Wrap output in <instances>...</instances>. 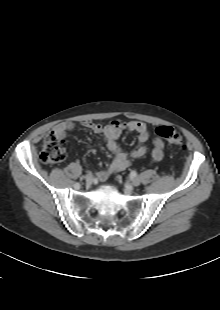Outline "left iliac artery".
I'll list each match as a JSON object with an SVG mask.
<instances>
[{"label": "left iliac artery", "mask_w": 220, "mask_h": 310, "mask_svg": "<svg viewBox=\"0 0 220 310\" xmlns=\"http://www.w3.org/2000/svg\"><path fill=\"white\" fill-rule=\"evenodd\" d=\"M136 176H137V172H136V171H132V172L130 173V178H131V179L135 178Z\"/></svg>", "instance_id": "left-iliac-artery-1"}]
</instances>
